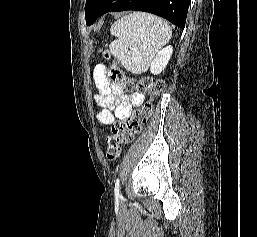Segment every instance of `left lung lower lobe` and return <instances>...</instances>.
<instances>
[{"mask_svg":"<svg viewBox=\"0 0 257 237\" xmlns=\"http://www.w3.org/2000/svg\"><path fill=\"white\" fill-rule=\"evenodd\" d=\"M190 1L191 0H108L99 13L87 25H92L98 17L107 12L136 10L156 14L169 20L181 29H184Z\"/></svg>","mask_w":257,"mask_h":237,"instance_id":"0a47b994","label":"left lung lower lobe"}]
</instances>
